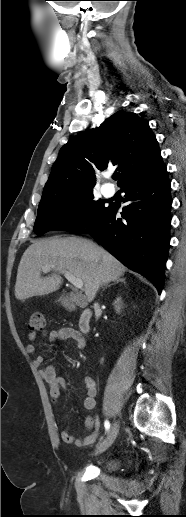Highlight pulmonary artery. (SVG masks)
<instances>
[{"instance_id":"obj_1","label":"pulmonary artery","mask_w":186,"mask_h":517,"mask_svg":"<svg viewBox=\"0 0 186 517\" xmlns=\"http://www.w3.org/2000/svg\"><path fill=\"white\" fill-rule=\"evenodd\" d=\"M102 193L106 197H111L114 194V189L109 184H104L102 186Z\"/></svg>"}]
</instances>
